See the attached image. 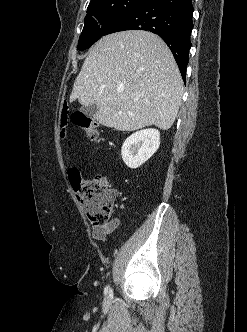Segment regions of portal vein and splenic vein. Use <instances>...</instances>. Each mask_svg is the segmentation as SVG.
<instances>
[{"label": "portal vein and splenic vein", "mask_w": 247, "mask_h": 332, "mask_svg": "<svg viewBox=\"0 0 247 332\" xmlns=\"http://www.w3.org/2000/svg\"><path fill=\"white\" fill-rule=\"evenodd\" d=\"M118 92H122V90H118Z\"/></svg>", "instance_id": "obj_1"}]
</instances>
